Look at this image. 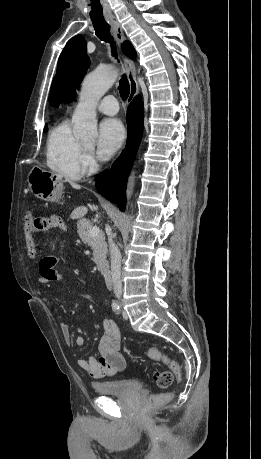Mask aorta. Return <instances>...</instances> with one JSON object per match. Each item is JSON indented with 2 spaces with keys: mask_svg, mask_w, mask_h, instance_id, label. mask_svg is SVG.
Returning a JSON list of instances; mask_svg holds the SVG:
<instances>
[{
  "mask_svg": "<svg viewBox=\"0 0 261 459\" xmlns=\"http://www.w3.org/2000/svg\"><path fill=\"white\" fill-rule=\"evenodd\" d=\"M117 77L118 72L113 67L98 68L85 77L79 102L72 117L75 137L85 140L96 139L98 135L96 106Z\"/></svg>",
  "mask_w": 261,
  "mask_h": 459,
  "instance_id": "762f6f07",
  "label": "aorta"
}]
</instances>
